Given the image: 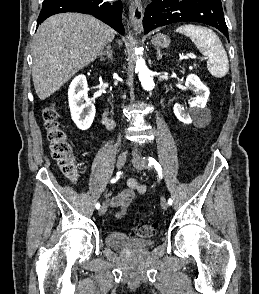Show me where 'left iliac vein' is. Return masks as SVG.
<instances>
[{
  "label": "left iliac vein",
  "instance_id": "4c4485c4",
  "mask_svg": "<svg viewBox=\"0 0 259 294\" xmlns=\"http://www.w3.org/2000/svg\"><path fill=\"white\" fill-rule=\"evenodd\" d=\"M132 163H133V166L140 171L144 170L147 166V161L144 158H140V157H135ZM160 204L163 210H166L168 208V203L164 197L161 198Z\"/></svg>",
  "mask_w": 259,
  "mask_h": 294
}]
</instances>
